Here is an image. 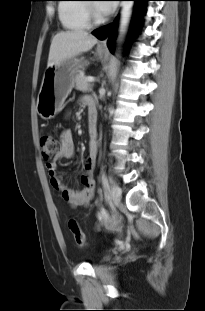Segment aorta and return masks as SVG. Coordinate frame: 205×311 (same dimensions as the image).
Wrapping results in <instances>:
<instances>
[{
  "label": "aorta",
  "mask_w": 205,
  "mask_h": 311,
  "mask_svg": "<svg viewBox=\"0 0 205 311\" xmlns=\"http://www.w3.org/2000/svg\"><path fill=\"white\" fill-rule=\"evenodd\" d=\"M134 2L133 1H122L121 2V12H120V21H119V39L123 38L126 34L131 15L133 9ZM117 59L113 58L112 63L110 65V74L113 75L117 69Z\"/></svg>",
  "instance_id": "1"
}]
</instances>
